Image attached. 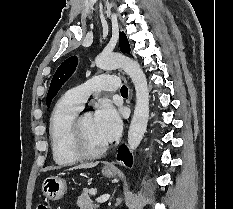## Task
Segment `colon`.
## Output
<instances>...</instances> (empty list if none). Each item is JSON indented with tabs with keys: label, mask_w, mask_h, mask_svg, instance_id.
I'll return each instance as SVG.
<instances>
[{
	"label": "colon",
	"mask_w": 233,
	"mask_h": 209,
	"mask_svg": "<svg viewBox=\"0 0 233 209\" xmlns=\"http://www.w3.org/2000/svg\"><path fill=\"white\" fill-rule=\"evenodd\" d=\"M38 209H50V208L47 204L41 203V204H39Z\"/></svg>",
	"instance_id": "colon-1"
}]
</instances>
